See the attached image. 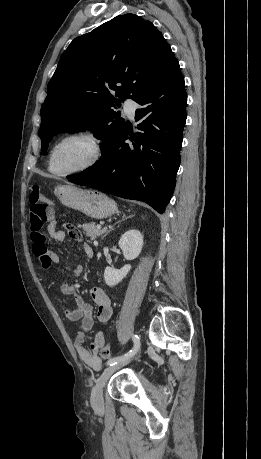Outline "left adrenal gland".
<instances>
[{"mask_svg": "<svg viewBox=\"0 0 261 459\" xmlns=\"http://www.w3.org/2000/svg\"><path fill=\"white\" fill-rule=\"evenodd\" d=\"M130 217H131V216H129V217H125V216H124L121 220L117 221V222L115 223V225L121 223L122 221H124V220H126V219H128V218H130ZM111 230H113V228H111V229L105 234V236H106Z\"/></svg>", "mask_w": 261, "mask_h": 459, "instance_id": "left-adrenal-gland-1", "label": "left adrenal gland"}]
</instances>
